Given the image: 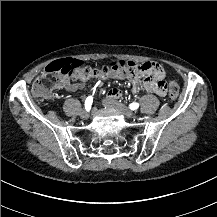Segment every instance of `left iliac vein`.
Returning a JSON list of instances; mask_svg holds the SVG:
<instances>
[{
	"label": "left iliac vein",
	"instance_id": "obj_1",
	"mask_svg": "<svg viewBox=\"0 0 217 217\" xmlns=\"http://www.w3.org/2000/svg\"><path fill=\"white\" fill-rule=\"evenodd\" d=\"M102 104L105 107H109L111 109L119 111L121 114H123L127 118H131L134 116L133 111L129 110L126 106L115 102L114 100L104 99V100H102Z\"/></svg>",
	"mask_w": 217,
	"mask_h": 217
}]
</instances>
